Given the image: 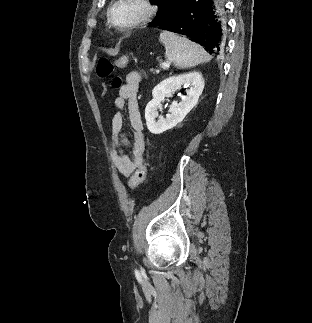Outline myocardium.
Masks as SVG:
<instances>
[{
  "label": "myocardium",
  "instance_id": "f54148a6",
  "mask_svg": "<svg viewBox=\"0 0 312 323\" xmlns=\"http://www.w3.org/2000/svg\"><path fill=\"white\" fill-rule=\"evenodd\" d=\"M154 0H117L112 1L110 10H105L104 15L114 25V31H136L141 21H155L159 13L160 3ZM119 13H133L131 16ZM137 13V14H136Z\"/></svg>",
  "mask_w": 312,
  "mask_h": 323
}]
</instances>
